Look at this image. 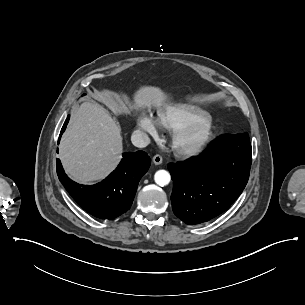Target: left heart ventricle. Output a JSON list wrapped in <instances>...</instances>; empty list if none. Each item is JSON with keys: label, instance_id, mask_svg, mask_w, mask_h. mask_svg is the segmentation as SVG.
<instances>
[{"label": "left heart ventricle", "instance_id": "b2bd125f", "mask_svg": "<svg viewBox=\"0 0 305 305\" xmlns=\"http://www.w3.org/2000/svg\"><path fill=\"white\" fill-rule=\"evenodd\" d=\"M200 132L198 130L194 131L193 134L194 135H198Z\"/></svg>", "mask_w": 305, "mask_h": 305}]
</instances>
